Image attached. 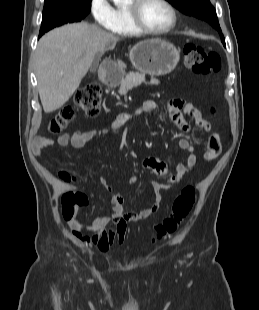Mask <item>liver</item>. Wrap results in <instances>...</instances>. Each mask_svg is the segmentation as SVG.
<instances>
[{"mask_svg": "<svg viewBox=\"0 0 259 310\" xmlns=\"http://www.w3.org/2000/svg\"><path fill=\"white\" fill-rule=\"evenodd\" d=\"M119 37L88 23L68 24L44 35L35 53L38 91L46 113L62 107L79 87L97 53ZM120 66H124L118 61Z\"/></svg>", "mask_w": 259, "mask_h": 310, "instance_id": "obj_1", "label": "liver"}]
</instances>
